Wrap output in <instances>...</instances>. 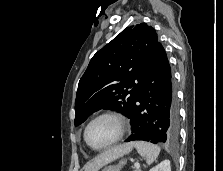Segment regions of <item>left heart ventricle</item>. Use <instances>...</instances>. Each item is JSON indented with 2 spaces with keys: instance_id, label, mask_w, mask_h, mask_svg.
I'll use <instances>...</instances> for the list:
<instances>
[{
  "instance_id": "1",
  "label": "left heart ventricle",
  "mask_w": 223,
  "mask_h": 171,
  "mask_svg": "<svg viewBox=\"0 0 223 171\" xmlns=\"http://www.w3.org/2000/svg\"><path fill=\"white\" fill-rule=\"evenodd\" d=\"M117 122L109 117H104L93 122L87 132V138L94 147H102L113 141L118 135Z\"/></svg>"
}]
</instances>
